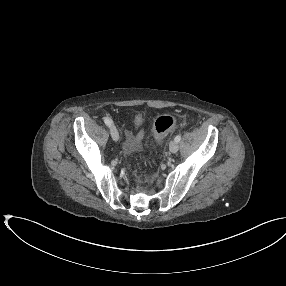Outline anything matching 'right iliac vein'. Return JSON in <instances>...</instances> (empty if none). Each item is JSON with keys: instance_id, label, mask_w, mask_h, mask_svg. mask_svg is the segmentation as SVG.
<instances>
[{"instance_id": "obj_1", "label": "right iliac vein", "mask_w": 286, "mask_h": 286, "mask_svg": "<svg viewBox=\"0 0 286 286\" xmlns=\"http://www.w3.org/2000/svg\"><path fill=\"white\" fill-rule=\"evenodd\" d=\"M110 134H111V137L114 141H118L119 140V133L116 129L115 126H111L110 127Z\"/></svg>"}]
</instances>
